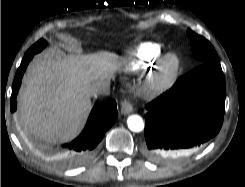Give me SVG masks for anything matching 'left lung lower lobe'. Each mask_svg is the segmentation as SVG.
<instances>
[{"mask_svg":"<svg viewBox=\"0 0 245 187\" xmlns=\"http://www.w3.org/2000/svg\"><path fill=\"white\" fill-rule=\"evenodd\" d=\"M226 86L218 60L183 75L146 108L147 153L155 159L175 157L202 146L221 129Z\"/></svg>","mask_w":245,"mask_h":187,"instance_id":"0a47b994","label":"left lung lower lobe"}]
</instances>
